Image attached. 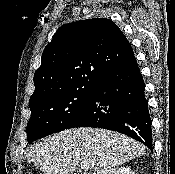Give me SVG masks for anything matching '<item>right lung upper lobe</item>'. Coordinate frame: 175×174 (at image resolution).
<instances>
[{
  "instance_id": "1",
  "label": "right lung upper lobe",
  "mask_w": 175,
  "mask_h": 174,
  "mask_svg": "<svg viewBox=\"0 0 175 174\" xmlns=\"http://www.w3.org/2000/svg\"><path fill=\"white\" fill-rule=\"evenodd\" d=\"M133 57L131 44L107 18L65 24L43 51L29 105L68 90L95 85L109 70Z\"/></svg>"
}]
</instances>
